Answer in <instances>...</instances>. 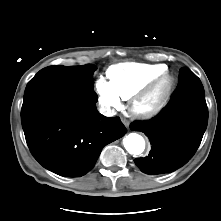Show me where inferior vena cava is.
I'll list each match as a JSON object with an SVG mask.
<instances>
[{"mask_svg": "<svg viewBox=\"0 0 221 221\" xmlns=\"http://www.w3.org/2000/svg\"><path fill=\"white\" fill-rule=\"evenodd\" d=\"M99 112L105 116H113L114 115V112L110 110V108H107V107H101L99 109Z\"/></svg>", "mask_w": 221, "mask_h": 221, "instance_id": "inferior-vena-cava-1", "label": "inferior vena cava"}]
</instances>
